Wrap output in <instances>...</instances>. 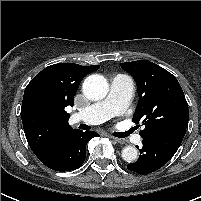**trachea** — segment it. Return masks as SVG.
Segmentation results:
<instances>
[{
	"label": "trachea",
	"mask_w": 201,
	"mask_h": 201,
	"mask_svg": "<svg viewBox=\"0 0 201 201\" xmlns=\"http://www.w3.org/2000/svg\"><path fill=\"white\" fill-rule=\"evenodd\" d=\"M132 132H133L132 130H128L126 132H117V133H114V136L119 137V138H124V137L129 136Z\"/></svg>",
	"instance_id": "3493384b"
}]
</instances>
